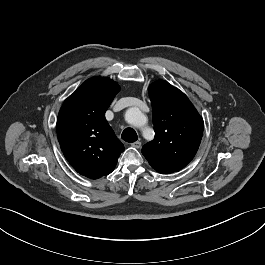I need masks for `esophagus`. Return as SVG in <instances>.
Segmentation results:
<instances>
[{
    "mask_svg": "<svg viewBox=\"0 0 265 265\" xmlns=\"http://www.w3.org/2000/svg\"><path fill=\"white\" fill-rule=\"evenodd\" d=\"M131 146L134 147V148L139 149L141 147V142L140 141H136V142L132 143Z\"/></svg>",
    "mask_w": 265,
    "mask_h": 265,
    "instance_id": "obj_1",
    "label": "esophagus"
}]
</instances>
